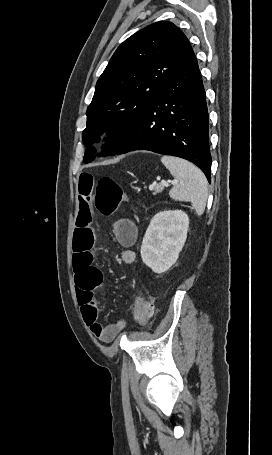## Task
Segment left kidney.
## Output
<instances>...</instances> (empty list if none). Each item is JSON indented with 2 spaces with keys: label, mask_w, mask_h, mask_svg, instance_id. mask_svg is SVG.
I'll use <instances>...</instances> for the list:
<instances>
[{
  "label": "left kidney",
  "mask_w": 272,
  "mask_h": 455,
  "mask_svg": "<svg viewBox=\"0 0 272 455\" xmlns=\"http://www.w3.org/2000/svg\"><path fill=\"white\" fill-rule=\"evenodd\" d=\"M188 215L182 210H165L151 220L141 246L143 262L155 273L175 264L187 238Z\"/></svg>",
  "instance_id": "left-kidney-1"
}]
</instances>
